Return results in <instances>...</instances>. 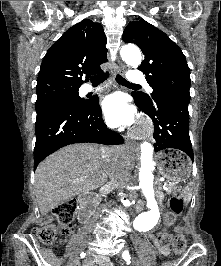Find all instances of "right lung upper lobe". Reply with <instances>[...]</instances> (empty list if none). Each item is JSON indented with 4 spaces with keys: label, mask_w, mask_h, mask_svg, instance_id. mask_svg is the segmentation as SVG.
<instances>
[{
    "label": "right lung upper lobe",
    "mask_w": 221,
    "mask_h": 266,
    "mask_svg": "<svg viewBox=\"0 0 221 266\" xmlns=\"http://www.w3.org/2000/svg\"><path fill=\"white\" fill-rule=\"evenodd\" d=\"M106 36L100 23L84 19L69 28L47 51L37 78V87H80L86 74L102 72L107 62Z\"/></svg>",
    "instance_id": "1"
}]
</instances>
